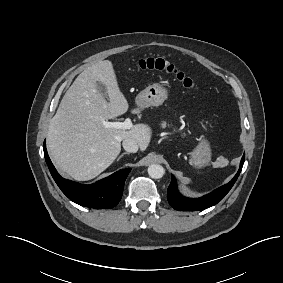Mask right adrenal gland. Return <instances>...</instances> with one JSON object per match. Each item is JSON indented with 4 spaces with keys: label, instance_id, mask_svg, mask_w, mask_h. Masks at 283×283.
<instances>
[{
    "label": "right adrenal gland",
    "instance_id": "2a0ac1e0",
    "mask_svg": "<svg viewBox=\"0 0 283 283\" xmlns=\"http://www.w3.org/2000/svg\"><path fill=\"white\" fill-rule=\"evenodd\" d=\"M126 154H130V153H128V152L122 153V154L118 157L117 161H119V160H120L124 155H126Z\"/></svg>",
    "mask_w": 283,
    "mask_h": 283
}]
</instances>
